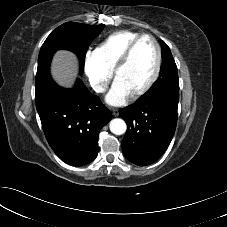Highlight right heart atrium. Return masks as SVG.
Returning <instances> with one entry per match:
<instances>
[{
  "mask_svg": "<svg viewBox=\"0 0 227 227\" xmlns=\"http://www.w3.org/2000/svg\"><path fill=\"white\" fill-rule=\"evenodd\" d=\"M83 69L91 88L96 93L104 92L111 79V72L102 65L94 52H86Z\"/></svg>",
  "mask_w": 227,
  "mask_h": 227,
  "instance_id": "d8ad5b80",
  "label": "right heart atrium"
}]
</instances>
